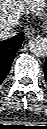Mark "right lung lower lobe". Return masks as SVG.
Here are the masks:
<instances>
[{"label": "right lung lower lobe", "mask_w": 47, "mask_h": 129, "mask_svg": "<svg viewBox=\"0 0 47 129\" xmlns=\"http://www.w3.org/2000/svg\"><path fill=\"white\" fill-rule=\"evenodd\" d=\"M24 39L23 32L12 38L0 42V84L7 76L16 52L21 47Z\"/></svg>", "instance_id": "obj_1"}]
</instances>
